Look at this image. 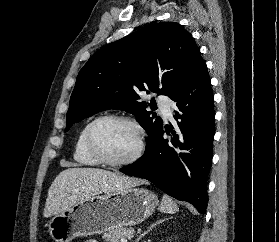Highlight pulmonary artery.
Instances as JSON below:
<instances>
[{
	"instance_id": "pulmonary-artery-1",
	"label": "pulmonary artery",
	"mask_w": 279,
	"mask_h": 242,
	"mask_svg": "<svg viewBox=\"0 0 279 242\" xmlns=\"http://www.w3.org/2000/svg\"><path fill=\"white\" fill-rule=\"evenodd\" d=\"M157 103L165 118L172 117L171 101L167 96H157Z\"/></svg>"
}]
</instances>
